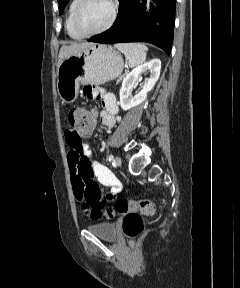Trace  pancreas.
<instances>
[{
	"label": "pancreas",
	"mask_w": 240,
	"mask_h": 288,
	"mask_svg": "<svg viewBox=\"0 0 240 288\" xmlns=\"http://www.w3.org/2000/svg\"><path fill=\"white\" fill-rule=\"evenodd\" d=\"M125 75H126V74L121 75V76L119 77V79L117 80V82L121 81V80L125 77Z\"/></svg>",
	"instance_id": "pancreas-1"
}]
</instances>
